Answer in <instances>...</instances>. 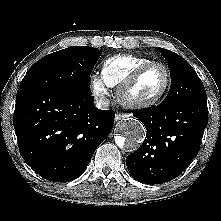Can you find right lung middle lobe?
<instances>
[{
  "label": "right lung middle lobe",
  "mask_w": 221,
  "mask_h": 221,
  "mask_svg": "<svg viewBox=\"0 0 221 221\" xmlns=\"http://www.w3.org/2000/svg\"><path fill=\"white\" fill-rule=\"evenodd\" d=\"M101 53L97 48L71 46L44 56L29 69L20 88L91 95L89 78Z\"/></svg>",
  "instance_id": "dd1d6c3e"
}]
</instances>
